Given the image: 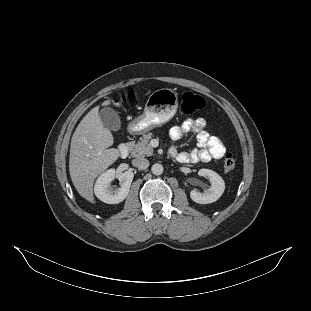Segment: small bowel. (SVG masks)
<instances>
[{
	"label": "small bowel",
	"mask_w": 311,
	"mask_h": 311,
	"mask_svg": "<svg viewBox=\"0 0 311 311\" xmlns=\"http://www.w3.org/2000/svg\"><path fill=\"white\" fill-rule=\"evenodd\" d=\"M189 132H193L196 135L197 148L178 152L172 146L169 150L171 157L175 158L179 163L209 162L221 159L225 155L226 149L221 140L206 130V121L203 118L186 119L180 125L173 126L170 129L169 135L172 141L175 142Z\"/></svg>",
	"instance_id": "1"
}]
</instances>
